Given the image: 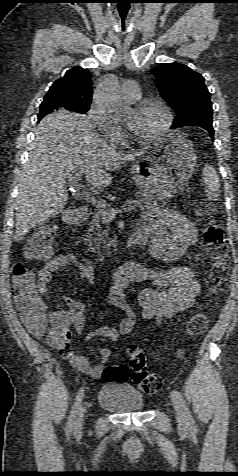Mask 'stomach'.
Returning <instances> with one entry per match:
<instances>
[{
	"label": "stomach",
	"instance_id": "0dacf381",
	"mask_svg": "<svg viewBox=\"0 0 238 476\" xmlns=\"http://www.w3.org/2000/svg\"><path fill=\"white\" fill-rule=\"evenodd\" d=\"M197 163L190 142L177 131L158 138L132 166L131 174L143 193L153 198H172L191 178Z\"/></svg>",
	"mask_w": 238,
	"mask_h": 476
}]
</instances>
